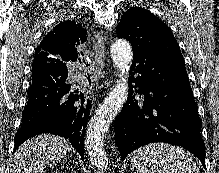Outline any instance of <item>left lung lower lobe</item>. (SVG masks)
I'll use <instances>...</instances> for the list:
<instances>
[{
  "instance_id": "left-lung-lower-lobe-1",
  "label": "left lung lower lobe",
  "mask_w": 219,
  "mask_h": 173,
  "mask_svg": "<svg viewBox=\"0 0 219 173\" xmlns=\"http://www.w3.org/2000/svg\"><path fill=\"white\" fill-rule=\"evenodd\" d=\"M130 96L115 122V142L121 159L151 142L181 146L205 166L202 121L184 63L134 53ZM139 89H136V88ZM142 100L135 99L136 94Z\"/></svg>"
}]
</instances>
